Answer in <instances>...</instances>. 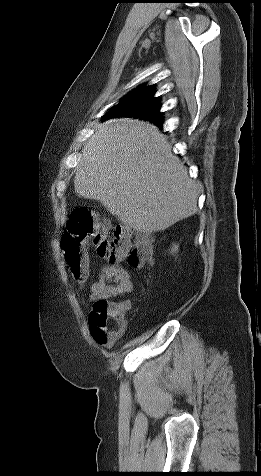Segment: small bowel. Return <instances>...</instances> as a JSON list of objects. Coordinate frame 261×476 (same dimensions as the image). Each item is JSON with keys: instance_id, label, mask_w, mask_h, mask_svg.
<instances>
[{"instance_id": "obj_1", "label": "small bowel", "mask_w": 261, "mask_h": 476, "mask_svg": "<svg viewBox=\"0 0 261 476\" xmlns=\"http://www.w3.org/2000/svg\"><path fill=\"white\" fill-rule=\"evenodd\" d=\"M134 289L131 273L119 263H111L102 267L99 279L90 289V299L95 303L107 299L129 294ZM125 309H129L127 301L122 302Z\"/></svg>"}]
</instances>
